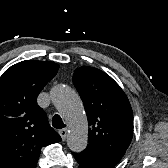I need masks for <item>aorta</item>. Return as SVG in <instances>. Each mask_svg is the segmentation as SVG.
<instances>
[{"label":"aorta","mask_w":168,"mask_h":168,"mask_svg":"<svg viewBox=\"0 0 168 168\" xmlns=\"http://www.w3.org/2000/svg\"><path fill=\"white\" fill-rule=\"evenodd\" d=\"M50 97L68 123L69 149L73 152L83 151L88 144V122L79 95L69 86L56 85L51 89Z\"/></svg>","instance_id":"762f6f07"}]
</instances>
